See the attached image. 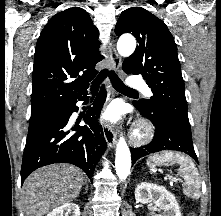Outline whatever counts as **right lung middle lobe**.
Segmentation results:
<instances>
[{
    "label": "right lung middle lobe",
    "instance_id": "dd1d6c3e",
    "mask_svg": "<svg viewBox=\"0 0 221 216\" xmlns=\"http://www.w3.org/2000/svg\"><path fill=\"white\" fill-rule=\"evenodd\" d=\"M53 110L31 115L27 137L34 135L36 132H38L42 128L43 125L46 124L47 121L50 120L53 114Z\"/></svg>",
    "mask_w": 221,
    "mask_h": 216
}]
</instances>
